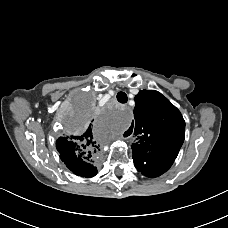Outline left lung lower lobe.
I'll return each mask as SVG.
<instances>
[{
	"label": "left lung lower lobe",
	"mask_w": 228,
	"mask_h": 228,
	"mask_svg": "<svg viewBox=\"0 0 228 228\" xmlns=\"http://www.w3.org/2000/svg\"><path fill=\"white\" fill-rule=\"evenodd\" d=\"M135 167L147 177H158L165 173L173 164L174 159L162 158L150 154L134 155Z\"/></svg>",
	"instance_id": "1"
}]
</instances>
